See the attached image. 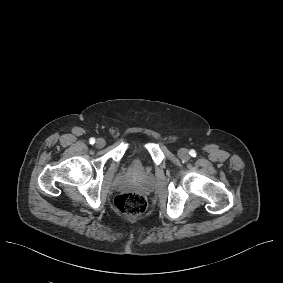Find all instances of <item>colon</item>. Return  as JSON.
I'll use <instances>...</instances> for the list:
<instances>
[{"instance_id": "5ec220e1", "label": "colon", "mask_w": 283, "mask_h": 283, "mask_svg": "<svg viewBox=\"0 0 283 283\" xmlns=\"http://www.w3.org/2000/svg\"><path fill=\"white\" fill-rule=\"evenodd\" d=\"M114 203L122 214L130 218L141 215L147 206L145 197L136 192L118 195Z\"/></svg>"}]
</instances>
